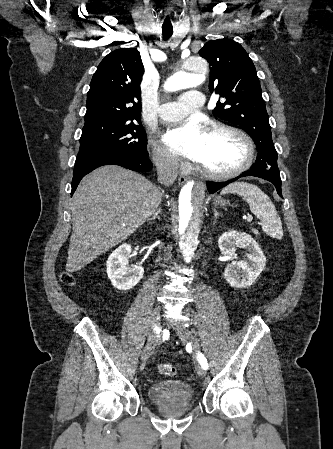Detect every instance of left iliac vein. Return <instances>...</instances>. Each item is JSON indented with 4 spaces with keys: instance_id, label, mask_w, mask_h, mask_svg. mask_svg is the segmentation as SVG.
Segmentation results:
<instances>
[{
    "instance_id": "1",
    "label": "left iliac vein",
    "mask_w": 333,
    "mask_h": 449,
    "mask_svg": "<svg viewBox=\"0 0 333 449\" xmlns=\"http://www.w3.org/2000/svg\"><path fill=\"white\" fill-rule=\"evenodd\" d=\"M176 332L182 341L189 342L191 344L196 354L200 352V345L198 339L190 329L178 325L176 327ZM196 372L199 376H204L205 374L204 368L199 363L196 364Z\"/></svg>"
}]
</instances>
